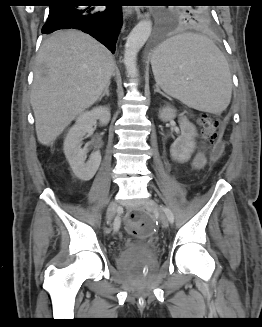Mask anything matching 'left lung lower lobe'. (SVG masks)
<instances>
[{
  "instance_id": "left-lung-lower-lobe-1",
  "label": "left lung lower lobe",
  "mask_w": 262,
  "mask_h": 327,
  "mask_svg": "<svg viewBox=\"0 0 262 327\" xmlns=\"http://www.w3.org/2000/svg\"><path fill=\"white\" fill-rule=\"evenodd\" d=\"M161 41H162L161 34L160 33L156 34V36L153 38L152 46L159 47L158 45L161 43Z\"/></svg>"
}]
</instances>
